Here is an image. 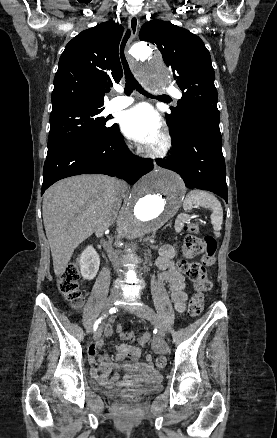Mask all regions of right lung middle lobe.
I'll list each match as a JSON object with an SVG mask.
<instances>
[{
	"instance_id": "right-lung-middle-lobe-1",
	"label": "right lung middle lobe",
	"mask_w": 277,
	"mask_h": 438,
	"mask_svg": "<svg viewBox=\"0 0 277 438\" xmlns=\"http://www.w3.org/2000/svg\"><path fill=\"white\" fill-rule=\"evenodd\" d=\"M101 110L81 109L69 114H51L48 153L74 143L99 141L118 129L117 124L107 125L109 118Z\"/></svg>"
}]
</instances>
